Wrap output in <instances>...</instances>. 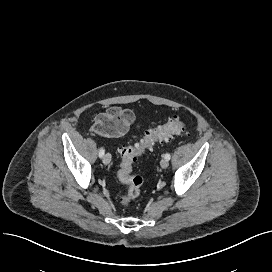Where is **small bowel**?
Segmentation results:
<instances>
[{
	"label": "small bowel",
	"mask_w": 272,
	"mask_h": 272,
	"mask_svg": "<svg viewBox=\"0 0 272 272\" xmlns=\"http://www.w3.org/2000/svg\"><path fill=\"white\" fill-rule=\"evenodd\" d=\"M128 112L130 114V123H131L133 121V119H134V116H133V114L130 111H128Z\"/></svg>",
	"instance_id": "obj_1"
}]
</instances>
